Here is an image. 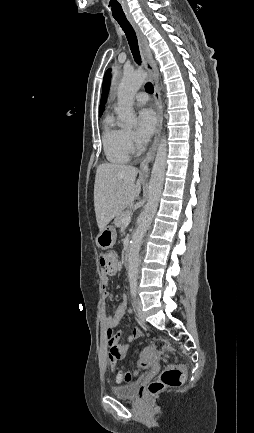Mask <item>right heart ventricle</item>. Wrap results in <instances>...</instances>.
<instances>
[{"mask_svg":"<svg viewBox=\"0 0 254 433\" xmlns=\"http://www.w3.org/2000/svg\"><path fill=\"white\" fill-rule=\"evenodd\" d=\"M102 145L109 162L123 164L129 161L132 151L126 140V130L115 122L112 115L104 119Z\"/></svg>","mask_w":254,"mask_h":433,"instance_id":"e07e8e85","label":"right heart ventricle"}]
</instances>
